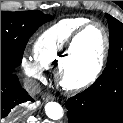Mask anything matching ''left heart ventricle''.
Returning <instances> with one entry per match:
<instances>
[{
  "label": "left heart ventricle",
  "instance_id": "obj_1",
  "mask_svg": "<svg viewBox=\"0 0 123 123\" xmlns=\"http://www.w3.org/2000/svg\"><path fill=\"white\" fill-rule=\"evenodd\" d=\"M104 38L97 26L89 27L78 39L71 64V72L77 78L86 77L93 70L102 51Z\"/></svg>",
  "mask_w": 123,
  "mask_h": 123
}]
</instances>
